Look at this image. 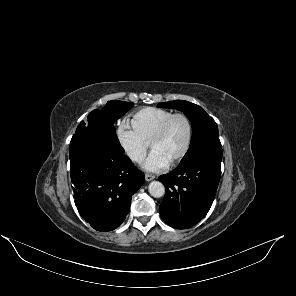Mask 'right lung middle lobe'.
Instances as JSON below:
<instances>
[{
    "mask_svg": "<svg viewBox=\"0 0 296 296\" xmlns=\"http://www.w3.org/2000/svg\"><path fill=\"white\" fill-rule=\"evenodd\" d=\"M134 103L112 100L102 110H93L88 115V122L82 121L78 127L94 126L111 134H116L113 123L123 116Z\"/></svg>",
    "mask_w": 296,
    "mask_h": 296,
    "instance_id": "1",
    "label": "right lung middle lobe"
}]
</instances>
